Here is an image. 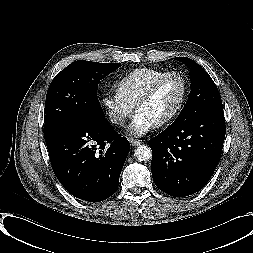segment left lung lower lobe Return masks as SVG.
Wrapping results in <instances>:
<instances>
[{
  "label": "left lung lower lobe",
  "instance_id": "0a47b994",
  "mask_svg": "<svg viewBox=\"0 0 253 253\" xmlns=\"http://www.w3.org/2000/svg\"><path fill=\"white\" fill-rule=\"evenodd\" d=\"M225 132L223 107H219L171 124L151 139L156 186L175 197L201 190L217 167Z\"/></svg>",
  "mask_w": 253,
  "mask_h": 253
}]
</instances>
